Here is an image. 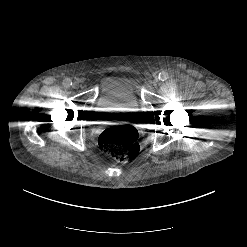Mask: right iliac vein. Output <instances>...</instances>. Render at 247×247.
Returning <instances> with one entry per match:
<instances>
[{
  "instance_id": "63e3f726",
  "label": "right iliac vein",
  "mask_w": 247,
  "mask_h": 247,
  "mask_svg": "<svg viewBox=\"0 0 247 247\" xmlns=\"http://www.w3.org/2000/svg\"><path fill=\"white\" fill-rule=\"evenodd\" d=\"M79 86H80V85H79L78 82H74L73 85H72V87H73L74 89H78Z\"/></svg>"
}]
</instances>
